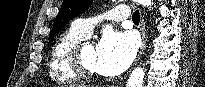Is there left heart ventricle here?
Here are the masks:
<instances>
[{"label":"left heart ventricle","mask_w":205,"mask_h":87,"mask_svg":"<svg viewBox=\"0 0 205 87\" xmlns=\"http://www.w3.org/2000/svg\"><path fill=\"white\" fill-rule=\"evenodd\" d=\"M82 63L87 70L96 72L95 60H96V48L88 44L81 53Z\"/></svg>","instance_id":"left-heart-ventricle-1"}]
</instances>
